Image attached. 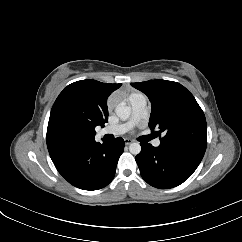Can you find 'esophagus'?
<instances>
[{
  "mask_svg": "<svg viewBox=\"0 0 242 242\" xmlns=\"http://www.w3.org/2000/svg\"><path fill=\"white\" fill-rule=\"evenodd\" d=\"M124 142H125L126 145H129V144H131L133 142V140L125 138Z\"/></svg>",
  "mask_w": 242,
  "mask_h": 242,
  "instance_id": "obj_1",
  "label": "esophagus"
}]
</instances>
